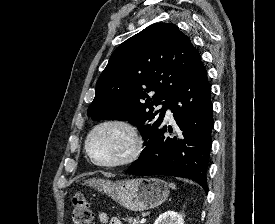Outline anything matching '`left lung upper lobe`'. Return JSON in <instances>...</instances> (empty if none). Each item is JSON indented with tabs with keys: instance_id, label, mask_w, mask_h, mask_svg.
I'll use <instances>...</instances> for the list:
<instances>
[{
	"instance_id": "1",
	"label": "left lung upper lobe",
	"mask_w": 275,
	"mask_h": 224,
	"mask_svg": "<svg viewBox=\"0 0 275 224\" xmlns=\"http://www.w3.org/2000/svg\"><path fill=\"white\" fill-rule=\"evenodd\" d=\"M201 67L199 52L177 26L150 25L113 52L87 116L128 120L146 141L161 125L169 99ZM159 104L163 107L154 112Z\"/></svg>"
}]
</instances>
